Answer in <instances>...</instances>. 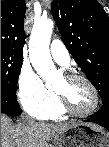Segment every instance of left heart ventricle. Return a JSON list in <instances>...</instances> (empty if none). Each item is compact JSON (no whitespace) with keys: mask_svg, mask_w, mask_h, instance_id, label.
Returning <instances> with one entry per match:
<instances>
[{"mask_svg":"<svg viewBox=\"0 0 109 147\" xmlns=\"http://www.w3.org/2000/svg\"><path fill=\"white\" fill-rule=\"evenodd\" d=\"M56 91L66 94L73 107L80 112L88 111L94 103V96L91 89L82 81L68 83L64 78Z\"/></svg>","mask_w":109,"mask_h":147,"instance_id":"b2bd125f","label":"left heart ventricle"}]
</instances>
